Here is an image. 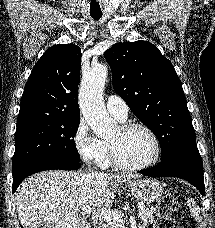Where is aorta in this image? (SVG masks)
<instances>
[{
  "instance_id": "1",
  "label": "aorta",
  "mask_w": 215,
  "mask_h": 228,
  "mask_svg": "<svg viewBox=\"0 0 215 228\" xmlns=\"http://www.w3.org/2000/svg\"><path fill=\"white\" fill-rule=\"evenodd\" d=\"M107 66H97L92 68L89 76L83 78L79 90V106L88 126L97 134L105 136L107 132H112L114 126L107 114V110L101 100V92L107 78Z\"/></svg>"
}]
</instances>
